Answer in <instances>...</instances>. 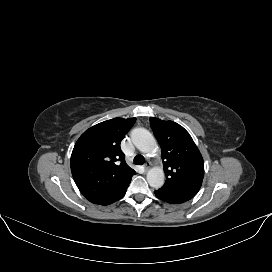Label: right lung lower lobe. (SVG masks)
<instances>
[{
    "label": "right lung lower lobe",
    "instance_id": "1",
    "mask_svg": "<svg viewBox=\"0 0 272 272\" xmlns=\"http://www.w3.org/2000/svg\"><path fill=\"white\" fill-rule=\"evenodd\" d=\"M127 187L124 190H122L119 194H117L115 197H113L111 200L107 201L106 203H104L102 205H109V204H112L113 202L121 199L125 195Z\"/></svg>",
    "mask_w": 272,
    "mask_h": 272
}]
</instances>
